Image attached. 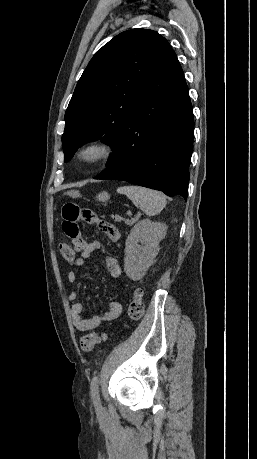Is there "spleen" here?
Listing matches in <instances>:
<instances>
[{"instance_id":"obj_1","label":"spleen","mask_w":257,"mask_h":459,"mask_svg":"<svg viewBox=\"0 0 257 459\" xmlns=\"http://www.w3.org/2000/svg\"><path fill=\"white\" fill-rule=\"evenodd\" d=\"M117 191L120 194H125L147 216H154L160 213L167 203L165 196L161 192L141 186H122Z\"/></svg>"}]
</instances>
